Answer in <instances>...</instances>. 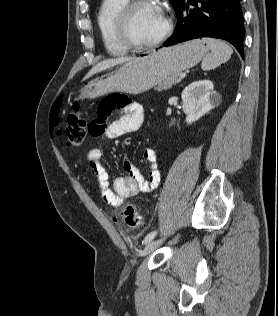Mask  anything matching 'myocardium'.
<instances>
[{
    "instance_id": "1",
    "label": "myocardium",
    "mask_w": 278,
    "mask_h": 316,
    "mask_svg": "<svg viewBox=\"0 0 278 316\" xmlns=\"http://www.w3.org/2000/svg\"><path fill=\"white\" fill-rule=\"evenodd\" d=\"M146 4H155L153 0H131L118 14L116 27L118 35L121 41L129 48L135 51H142L157 47L161 43H163L171 34L173 30V21L171 17L163 10L164 18H165V29L161 33V35L155 40L148 43H139L137 42L131 33L130 23L133 13L137 8ZM156 5V4H155Z\"/></svg>"
}]
</instances>
